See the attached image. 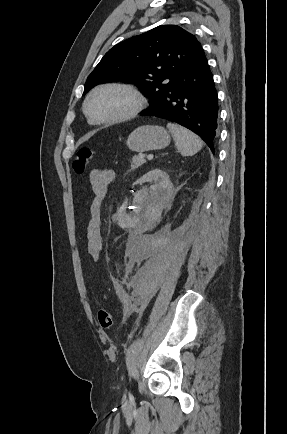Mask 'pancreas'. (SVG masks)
<instances>
[{
    "instance_id": "obj_1",
    "label": "pancreas",
    "mask_w": 287,
    "mask_h": 434,
    "mask_svg": "<svg viewBox=\"0 0 287 434\" xmlns=\"http://www.w3.org/2000/svg\"><path fill=\"white\" fill-rule=\"evenodd\" d=\"M144 163H145V159H144L143 155L140 154V155L134 156L132 158V161H131V169L135 170V169L139 168L140 166H142Z\"/></svg>"
}]
</instances>
